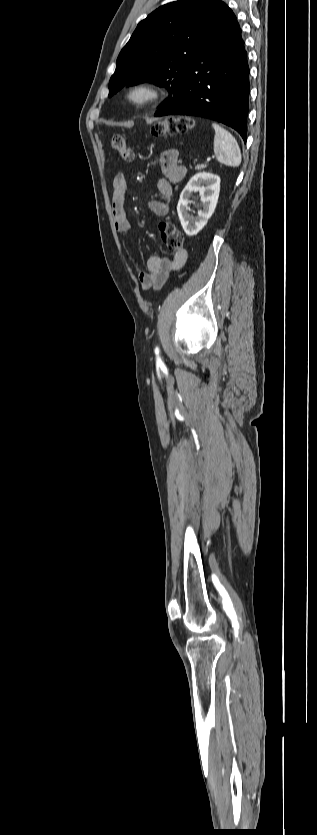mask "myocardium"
Masks as SVG:
<instances>
[{
    "label": "myocardium",
    "mask_w": 317,
    "mask_h": 835,
    "mask_svg": "<svg viewBox=\"0 0 317 835\" xmlns=\"http://www.w3.org/2000/svg\"><path fill=\"white\" fill-rule=\"evenodd\" d=\"M162 97L161 88L152 81L141 80L133 83L125 93L126 100L134 107L142 109L150 106Z\"/></svg>",
    "instance_id": "f54148a6"
}]
</instances>
